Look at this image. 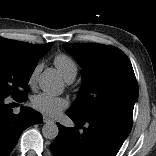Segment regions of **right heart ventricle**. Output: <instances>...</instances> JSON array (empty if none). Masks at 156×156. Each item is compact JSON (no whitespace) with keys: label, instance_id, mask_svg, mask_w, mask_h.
Returning <instances> with one entry per match:
<instances>
[{"label":"right heart ventricle","instance_id":"e07e8e85","mask_svg":"<svg viewBox=\"0 0 156 156\" xmlns=\"http://www.w3.org/2000/svg\"><path fill=\"white\" fill-rule=\"evenodd\" d=\"M54 65L67 82H71L75 79L78 66L70 56L66 54L56 55L54 58Z\"/></svg>","mask_w":156,"mask_h":156}]
</instances>
